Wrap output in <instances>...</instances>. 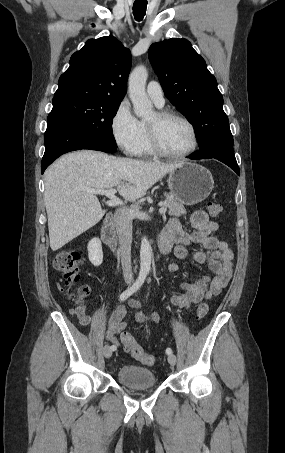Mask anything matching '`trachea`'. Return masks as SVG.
Returning <instances> with one entry per match:
<instances>
[{
    "instance_id": "obj_1",
    "label": "trachea",
    "mask_w": 285,
    "mask_h": 453,
    "mask_svg": "<svg viewBox=\"0 0 285 453\" xmlns=\"http://www.w3.org/2000/svg\"><path fill=\"white\" fill-rule=\"evenodd\" d=\"M147 1L146 0H136L133 4V15L137 21L143 20L146 14Z\"/></svg>"
}]
</instances>
